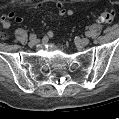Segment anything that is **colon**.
<instances>
[{
	"mask_svg": "<svg viewBox=\"0 0 119 119\" xmlns=\"http://www.w3.org/2000/svg\"><path fill=\"white\" fill-rule=\"evenodd\" d=\"M115 11L112 9H107L105 11H103L99 16L98 19L105 24H111L114 19H115Z\"/></svg>",
	"mask_w": 119,
	"mask_h": 119,
	"instance_id": "obj_1",
	"label": "colon"
}]
</instances>
